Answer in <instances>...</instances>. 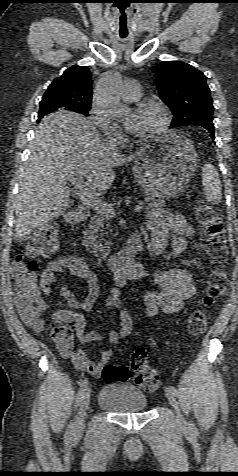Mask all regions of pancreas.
<instances>
[{
	"mask_svg": "<svg viewBox=\"0 0 238 476\" xmlns=\"http://www.w3.org/2000/svg\"><path fill=\"white\" fill-rule=\"evenodd\" d=\"M145 203L147 210L151 212L161 213L165 210V202L155 200L152 197H146ZM107 218L98 212H95L90 218L88 228L84 231L83 245L96 257H106L111 251V240H107L105 227L109 226ZM105 242V246L102 245Z\"/></svg>",
	"mask_w": 238,
	"mask_h": 476,
	"instance_id": "cf45deb5",
	"label": "pancreas"
}]
</instances>
